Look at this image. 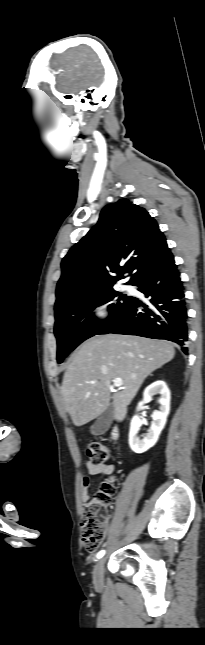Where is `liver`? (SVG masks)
I'll return each instance as SVG.
<instances>
[{"instance_id":"obj_1","label":"liver","mask_w":205,"mask_h":645,"mask_svg":"<svg viewBox=\"0 0 205 645\" xmlns=\"http://www.w3.org/2000/svg\"><path fill=\"white\" fill-rule=\"evenodd\" d=\"M174 355L172 344L138 336L107 334L86 340L63 377L65 411L75 426H82L99 417L112 399L113 417L122 421L144 380ZM116 378L122 379L123 387L111 395V382Z\"/></svg>"}]
</instances>
